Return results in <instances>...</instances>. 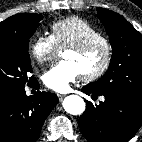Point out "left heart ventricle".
Masks as SVG:
<instances>
[{
    "label": "left heart ventricle",
    "mask_w": 142,
    "mask_h": 142,
    "mask_svg": "<svg viewBox=\"0 0 142 142\" xmlns=\"http://www.w3.org/2000/svg\"><path fill=\"white\" fill-rule=\"evenodd\" d=\"M105 53L103 48H96L86 54H79L71 50L63 53L65 60L73 62L79 69L81 75L92 73L103 63Z\"/></svg>",
    "instance_id": "1"
}]
</instances>
